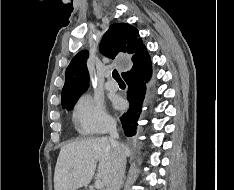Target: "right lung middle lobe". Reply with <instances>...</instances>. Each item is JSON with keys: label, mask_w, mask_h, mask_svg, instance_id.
Masks as SVG:
<instances>
[{"label": "right lung middle lobe", "mask_w": 234, "mask_h": 190, "mask_svg": "<svg viewBox=\"0 0 234 190\" xmlns=\"http://www.w3.org/2000/svg\"><path fill=\"white\" fill-rule=\"evenodd\" d=\"M77 100H78V99H75V100H72V101H70V102L64 103V104H62V106H63L64 108H66L67 110H71L72 107L74 106V104L76 103Z\"/></svg>", "instance_id": "right-lung-middle-lobe-1"}]
</instances>
